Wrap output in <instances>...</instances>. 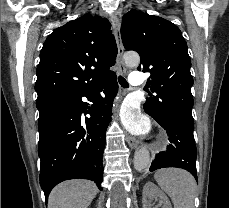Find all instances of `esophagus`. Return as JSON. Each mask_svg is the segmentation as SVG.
I'll return each instance as SVG.
<instances>
[{"label":"esophagus","instance_id":"obj_1","mask_svg":"<svg viewBox=\"0 0 229 208\" xmlns=\"http://www.w3.org/2000/svg\"><path fill=\"white\" fill-rule=\"evenodd\" d=\"M112 26H113V30H114V34H115V38H116L117 47H118V54H117V58H116L117 65L119 67L120 74L125 75L127 73V69H126L125 63L123 61L124 47H123V43H122V39H121L120 23H119L116 15H113ZM126 141H127L128 145L130 146V148H132V149H135L138 145V142L136 141V139L131 135H127Z\"/></svg>","mask_w":229,"mask_h":208}]
</instances>
